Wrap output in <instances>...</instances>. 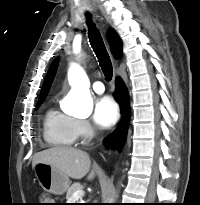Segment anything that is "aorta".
I'll use <instances>...</instances> for the list:
<instances>
[{
  "instance_id": "obj_1",
  "label": "aorta",
  "mask_w": 200,
  "mask_h": 205,
  "mask_svg": "<svg viewBox=\"0 0 200 205\" xmlns=\"http://www.w3.org/2000/svg\"><path fill=\"white\" fill-rule=\"evenodd\" d=\"M68 77L72 87L69 110L77 117L87 118L93 110V101L89 92V79L78 64L71 65Z\"/></svg>"
}]
</instances>
